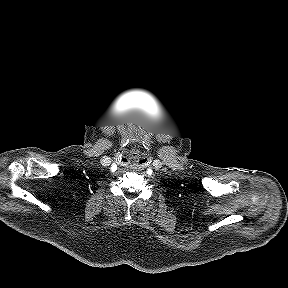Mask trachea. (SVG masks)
Segmentation results:
<instances>
[{"mask_svg":"<svg viewBox=\"0 0 288 288\" xmlns=\"http://www.w3.org/2000/svg\"><path fill=\"white\" fill-rule=\"evenodd\" d=\"M128 163L132 165H138L142 163L141 155L138 152H132L128 155Z\"/></svg>","mask_w":288,"mask_h":288,"instance_id":"trachea-1","label":"trachea"}]
</instances>
